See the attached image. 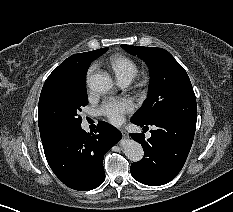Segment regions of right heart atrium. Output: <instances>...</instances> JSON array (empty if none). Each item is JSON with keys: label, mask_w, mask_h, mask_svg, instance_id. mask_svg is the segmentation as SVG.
Segmentation results:
<instances>
[{"label": "right heart atrium", "mask_w": 233, "mask_h": 212, "mask_svg": "<svg viewBox=\"0 0 233 212\" xmlns=\"http://www.w3.org/2000/svg\"><path fill=\"white\" fill-rule=\"evenodd\" d=\"M92 71H93V67H91V68L88 70L87 77H86V82H87V84L89 83V80H90V76H91V74H92Z\"/></svg>", "instance_id": "obj_1"}]
</instances>
